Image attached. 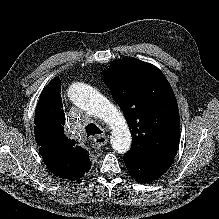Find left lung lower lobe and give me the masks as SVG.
Masks as SVG:
<instances>
[{"mask_svg": "<svg viewBox=\"0 0 219 219\" xmlns=\"http://www.w3.org/2000/svg\"><path fill=\"white\" fill-rule=\"evenodd\" d=\"M129 173L140 183H149L158 179L171 166V160H156L149 157H123Z\"/></svg>", "mask_w": 219, "mask_h": 219, "instance_id": "1", "label": "left lung lower lobe"}]
</instances>
